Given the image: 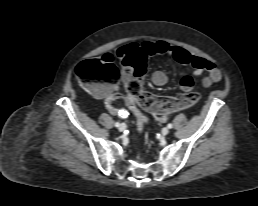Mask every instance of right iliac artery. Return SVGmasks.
<instances>
[{
  "instance_id": "82829eb1",
  "label": "right iliac artery",
  "mask_w": 258,
  "mask_h": 206,
  "mask_svg": "<svg viewBox=\"0 0 258 206\" xmlns=\"http://www.w3.org/2000/svg\"><path fill=\"white\" fill-rule=\"evenodd\" d=\"M115 126H116V127H119V126H120V123H119V122H116V123H115Z\"/></svg>"
}]
</instances>
